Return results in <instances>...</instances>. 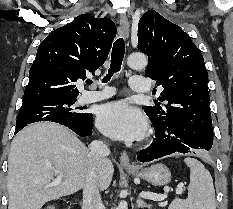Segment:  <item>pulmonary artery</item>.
Instances as JSON below:
<instances>
[{"instance_id":"1","label":"pulmonary artery","mask_w":233,"mask_h":209,"mask_svg":"<svg viewBox=\"0 0 233 209\" xmlns=\"http://www.w3.org/2000/svg\"><path fill=\"white\" fill-rule=\"evenodd\" d=\"M131 89L135 92H148L150 90L148 79L142 76H132L130 79ZM115 94V90L108 86H103L97 91H86L81 96L82 103H91L106 99Z\"/></svg>"}]
</instances>
